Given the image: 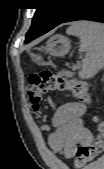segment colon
<instances>
[{
  "label": "colon",
  "mask_w": 104,
  "mask_h": 169,
  "mask_svg": "<svg viewBox=\"0 0 104 169\" xmlns=\"http://www.w3.org/2000/svg\"><path fill=\"white\" fill-rule=\"evenodd\" d=\"M68 90L81 102L90 103L88 86L85 82L67 79L63 73H53L44 69L39 73L29 76L27 96L34 111H38L43 101V96L55 92ZM99 134L89 144L79 146L76 152L74 165L77 168L95 160L104 149V125L98 117H95Z\"/></svg>",
  "instance_id": "5ec220e1"
}]
</instances>
